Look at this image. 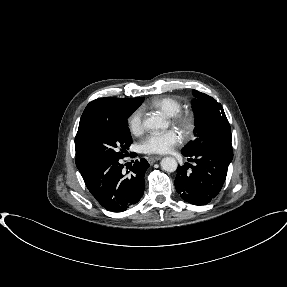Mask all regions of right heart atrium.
<instances>
[{
	"instance_id": "1",
	"label": "right heart atrium",
	"mask_w": 287,
	"mask_h": 287,
	"mask_svg": "<svg viewBox=\"0 0 287 287\" xmlns=\"http://www.w3.org/2000/svg\"><path fill=\"white\" fill-rule=\"evenodd\" d=\"M128 127L133 134H140L144 129V118L142 109L134 110L128 118Z\"/></svg>"
}]
</instances>
